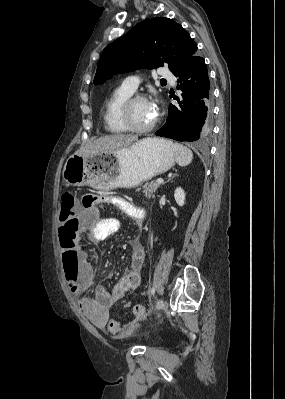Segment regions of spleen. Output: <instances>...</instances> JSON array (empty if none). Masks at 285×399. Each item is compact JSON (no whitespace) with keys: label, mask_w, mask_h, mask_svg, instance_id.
<instances>
[{"label":"spleen","mask_w":285,"mask_h":399,"mask_svg":"<svg viewBox=\"0 0 285 399\" xmlns=\"http://www.w3.org/2000/svg\"><path fill=\"white\" fill-rule=\"evenodd\" d=\"M170 144L173 147V150L175 153V160L178 165L185 167L192 162L193 153L190 149H188L187 147H185L179 143L170 142Z\"/></svg>","instance_id":"spleen-1"}]
</instances>
